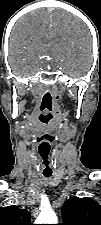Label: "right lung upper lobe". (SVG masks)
<instances>
[{
  "instance_id": "cb5924a9",
  "label": "right lung upper lobe",
  "mask_w": 101,
  "mask_h": 225,
  "mask_svg": "<svg viewBox=\"0 0 101 225\" xmlns=\"http://www.w3.org/2000/svg\"><path fill=\"white\" fill-rule=\"evenodd\" d=\"M0 225H32L26 209L12 205L0 209Z\"/></svg>"
}]
</instances>
